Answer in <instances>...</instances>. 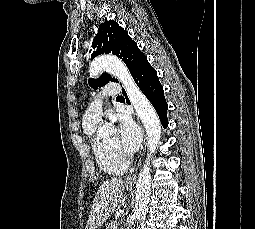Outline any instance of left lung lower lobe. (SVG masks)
I'll return each instance as SVG.
<instances>
[{
	"instance_id": "obj_1",
	"label": "left lung lower lobe",
	"mask_w": 255,
	"mask_h": 229,
	"mask_svg": "<svg viewBox=\"0 0 255 229\" xmlns=\"http://www.w3.org/2000/svg\"><path fill=\"white\" fill-rule=\"evenodd\" d=\"M131 75L140 90L146 95L155 108L163 127L166 128L168 125V105L164 97L163 87L159 82L156 70L150 65L145 55L140 58ZM123 94L129 104V100L124 90Z\"/></svg>"
}]
</instances>
